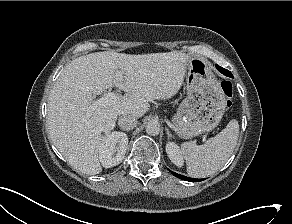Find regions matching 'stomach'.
Segmentation results:
<instances>
[{
    "label": "stomach",
    "mask_w": 292,
    "mask_h": 224,
    "mask_svg": "<svg viewBox=\"0 0 292 224\" xmlns=\"http://www.w3.org/2000/svg\"><path fill=\"white\" fill-rule=\"evenodd\" d=\"M186 70L187 97L173 117L175 130L183 139L213 130L226 107L224 91L206 59L189 56Z\"/></svg>",
    "instance_id": "0dacf381"
}]
</instances>
